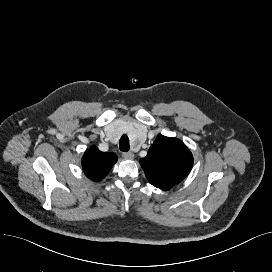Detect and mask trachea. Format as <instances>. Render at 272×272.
Wrapping results in <instances>:
<instances>
[{"label":"trachea","instance_id":"trachea-1","mask_svg":"<svg viewBox=\"0 0 272 272\" xmlns=\"http://www.w3.org/2000/svg\"><path fill=\"white\" fill-rule=\"evenodd\" d=\"M119 148L123 152H127L130 149L129 138L127 135H123L119 141Z\"/></svg>","mask_w":272,"mask_h":272}]
</instances>
